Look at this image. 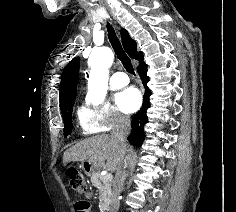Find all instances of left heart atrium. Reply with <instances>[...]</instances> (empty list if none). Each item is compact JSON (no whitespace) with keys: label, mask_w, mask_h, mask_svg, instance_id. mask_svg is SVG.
Masks as SVG:
<instances>
[{"label":"left heart atrium","mask_w":236,"mask_h":212,"mask_svg":"<svg viewBox=\"0 0 236 212\" xmlns=\"http://www.w3.org/2000/svg\"><path fill=\"white\" fill-rule=\"evenodd\" d=\"M116 101L121 111L133 113L140 107L142 97L136 87H128L118 94Z\"/></svg>","instance_id":"obj_1"}]
</instances>
